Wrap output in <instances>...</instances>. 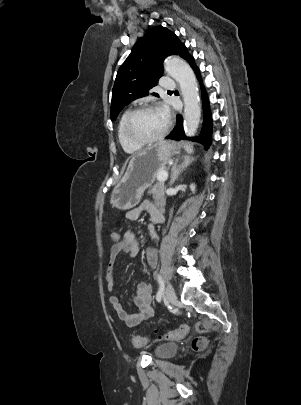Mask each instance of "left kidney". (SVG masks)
I'll use <instances>...</instances> for the list:
<instances>
[{
	"instance_id": "1",
	"label": "left kidney",
	"mask_w": 301,
	"mask_h": 405,
	"mask_svg": "<svg viewBox=\"0 0 301 405\" xmlns=\"http://www.w3.org/2000/svg\"><path fill=\"white\" fill-rule=\"evenodd\" d=\"M190 189H191V191H192L193 193H195V190H196L195 184H191V185H190Z\"/></svg>"
}]
</instances>
